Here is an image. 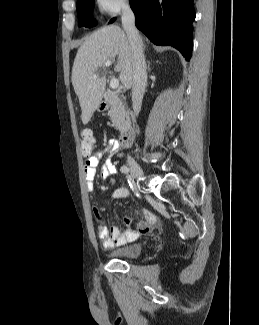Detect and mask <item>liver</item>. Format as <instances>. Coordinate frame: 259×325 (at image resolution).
Here are the masks:
<instances>
[{
  "instance_id": "1",
  "label": "liver",
  "mask_w": 259,
  "mask_h": 325,
  "mask_svg": "<svg viewBox=\"0 0 259 325\" xmlns=\"http://www.w3.org/2000/svg\"><path fill=\"white\" fill-rule=\"evenodd\" d=\"M132 54V46L127 34L116 25L98 29L79 47L71 80L79 98L81 120L84 125L90 121L100 105L106 87L105 77L93 79L92 76L104 62L117 57L114 70L120 72V81L126 89H130L133 75Z\"/></svg>"
}]
</instances>
